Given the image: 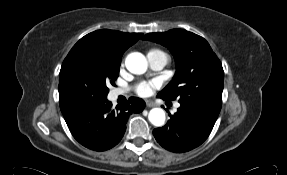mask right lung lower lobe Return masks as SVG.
Wrapping results in <instances>:
<instances>
[{"label": "right lung lower lobe", "instance_id": "obj_1", "mask_svg": "<svg viewBox=\"0 0 287 175\" xmlns=\"http://www.w3.org/2000/svg\"><path fill=\"white\" fill-rule=\"evenodd\" d=\"M145 108L144 100L132 97L129 101L112 108L107 98L92 107L63 114L73 137L83 146L105 151L119 143L131 113H140Z\"/></svg>", "mask_w": 287, "mask_h": 175}]
</instances>
